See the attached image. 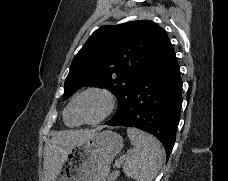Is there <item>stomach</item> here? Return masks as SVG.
<instances>
[{
  "mask_svg": "<svg viewBox=\"0 0 228 181\" xmlns=\"http://www.w3.org/2000/svg\"><path fill=\"white\" fill-rule=\"evenodd\" d=\"M122 147L117 133H95L71 149L56 181H107L110 165Z\"/></svg>",
  "mask_w": 228,
  "mask_h": 181,
  "instance_id": "1",
  "label": "stomach"
}]
</instances>
